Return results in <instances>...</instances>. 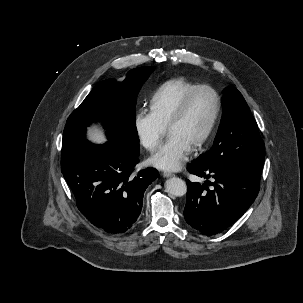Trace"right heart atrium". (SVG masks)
<instances>
[{
	"instance_id": "d8ad5b80",
	"label": "right heart atrium",
	"mask_w": 303,
	"mask_h": 303,
	"mask_svg": "<svg viewBox=\"0 0 303 303\" xmlns=\"http://www.w3.org/2000/svg\"><path fill=\"white\" fill-rule=\"evenodd\" d=\"M133 127L140 144L148 151L158 147L166 130V126L151 111L146 110L135 113Z\"/></svg>"
}]
</instances>
